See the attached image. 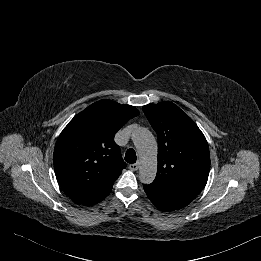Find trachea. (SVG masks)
Returning a JSON list of instances; mask_svg holds the SVG:
<instances>
[{"label":"trachea","instance_id":"3493384b","mask_svg":"<svg viewBox=\"0 0 261 261\" xmlns=\"http://www.w3.org/2000/svg\"><path fill=\"white\" fill-rule=\"evenodd\" d=\"M136 160H137V156H136L135 150H134V149H131V148L128 149V150L126 151V154H125V161H126L127 163L133 164V163L136 162Z\"/></svg>","mask_w":261,"mask_h":261}]
</instances>
